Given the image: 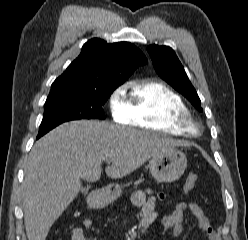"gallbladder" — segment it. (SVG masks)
<instances>
[{
	"mask_svg": "<svg viewBox=\"0 0 248 240\" xmlns=\"http://www.w3.org/2000/svg\"><path fill=\"white\" fill-rule=\"evenodd\" d=\"M87 191L86 188H81V192L85 193Z\"/></svg>",
	"mask_w": 248,
	"mask_h": 240,
	"instance_id": "bac80fb5",
	"label": "gallbladder"
}]
</instances>
